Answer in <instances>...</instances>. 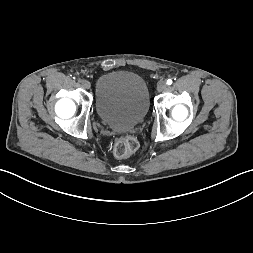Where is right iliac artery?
<instances>
[{
  "instance_id": "82829eb1",
  "label": "right iliac artery",
  "mask_w": 253,
  "mask_h": 253,
  "mask_svg": "<svg viewBox=\"0 0 253 253\" xmlns=\"http://www.w3.org/2000/svg\"><path fill=\"white\" fill-rule=\"evenodd\" d=\"M83 81H84L83 79H78V82L80 83H83Z\"/></svg>"
}]
</instances>
